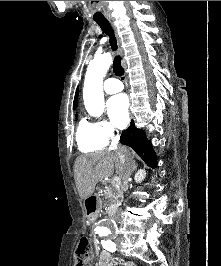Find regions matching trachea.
Listing matches in <instances>:
<instances>
[{"mask_svg":"<svg viewBox=\"0 0 221 266\" xmlns=\"http://www.w3.org/2000/svg\"><path fill=\"white\" fill-rule=\"evenodd\" d=\"M102 31L109 37V43L113 51L117 50V41L114 35V31L108 20L96 21ZM113 71L116 76L122 77L124 75V69L121 65V57L116 55L113 61Z\"/></svg>","mask_w":221,"mask_h":266,"instance_id":"1","label":"trachea"}]
</instances>
